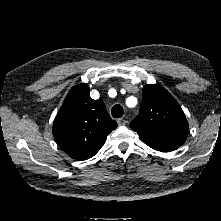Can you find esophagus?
<instances>
[{"label": "esophagus", "instance_id": "34e87169", "mask_svg": "<svg viewBox=\"0 0 221 221\" xmlns=\"http://www.w3.org/2000/svg\"><path fill=\"white\" fill-rule=\"evenodd\" d=\"M117 122L119 125H125L127 123V121L123 118L118 119Z\"/></svg>", "mask_w": 221, "mask_h": 221}]
</instances>
